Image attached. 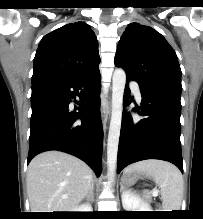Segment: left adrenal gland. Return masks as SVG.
Wrapping results in <instances>:
<instances>
[{
    "instance_id": "left-adrenal-gland-1",
    "label": "left adrenal gland",
    "mask_w": 203,
    "mask_h": 219,
    "mask_svg": "<svg viewBox=\"0 0 203 219\" xmlns=\"http://www.w3.org/2000/svg\"><path fill=\"white\" fill-rule=\"evenodd\" d=\"M121 187H120V191H123V189H125V186H124V184H123V182H121Z\"/></svg>"
}]
</instances>
